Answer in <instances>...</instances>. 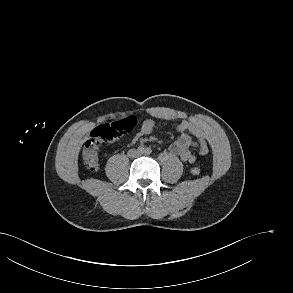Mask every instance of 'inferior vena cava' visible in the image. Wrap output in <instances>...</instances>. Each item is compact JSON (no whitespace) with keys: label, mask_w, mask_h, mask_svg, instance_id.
<instances>
[{"label":"inferior vena cava","mask_w":293,"mask_h":293,"mask_svg":"<svg viewBox=\"0 0 293 293\" xmlns=\"http://www.w3.org/2000/svg\"><path fill=\"white\" fill-rule=\"evenodd\" d=\"M131 157H136L138 156V153L136 151L133 152V154L130 155Z\"/></svg>","instance_id":"602c4592"}]
</instances>
